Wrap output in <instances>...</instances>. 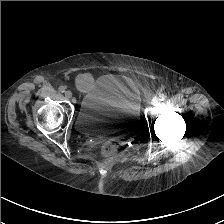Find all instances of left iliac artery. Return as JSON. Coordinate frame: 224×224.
<instances>
[{"instance_id": "left-iliac-artery-1", "label": "left iliac artery", "mask_w": 224, "mask_h": 224, "mask_svg": "<svg viewBox=\"0 0 224 224\" xmlns=\"http://www.w3.org/2000/svg\"><path fill=\"white\" fill-rule=\"evenodd\" d=\"M165 99H166V95H164V94L159 95V100L160 101H164Z\"/></svg>"}]
</instances>
